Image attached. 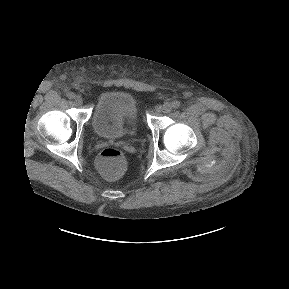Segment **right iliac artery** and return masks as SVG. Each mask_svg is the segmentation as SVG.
Listing matches in <instances>:
<instances>
[{
	"instance_id": "82829eb1",
	"label": "right iliac artery",
	"mask_w": 289,
	"mask_h": 289,
	"mask_svg": "<svg viewBox=\"0 0 289 289\" xmlns=\"http://www.w3.org/2000/svg\"><path fill=\"white\" fill-rule=\"evenodd\" d=\"M67 97H68L69 99H74V98H75V94H74L73 92H69V93L67 94Z\"/></svg>"
}]
</instances>
